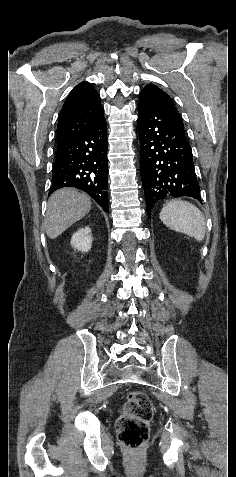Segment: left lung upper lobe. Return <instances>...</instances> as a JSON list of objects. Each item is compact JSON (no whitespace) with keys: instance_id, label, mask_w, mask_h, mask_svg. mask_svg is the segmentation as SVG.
<instances>
[{"instance_id":"5c2ea615","label":"left lung upper lobe","mask_w":236,"mask_h":477,"mask_svg":"<svg viewBox=\"0 0 236 477\" xmlns=\"http://www.w3.org/2000/svg\"><path fill=\"white\" fill-rule=\"evenodd\" d=\"M144 89H148V90H151L152 92H154L160 102L163 104V106L165 107L166 111L169 113L170 116H172V118L178 123L180 124L182 127H183V122L181 120V117L180 115L177 113L174 105H173V102L171 100V98L169 97L168 94H166L163 90L159 89L157 86L153 85V84H148L144 87Z\"/></svg>"}]
</instances>
